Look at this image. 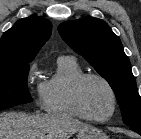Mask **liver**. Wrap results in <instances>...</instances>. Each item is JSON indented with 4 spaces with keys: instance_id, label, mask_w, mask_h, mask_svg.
Returning <instances> with one entry per match:
<instances>
[{
    "instance_id": "1",
    "label": "liver",
    "mask_w": 141,
    "mask_h": 139,
    "mask_svg": "<svg viewBox=\"0 0 141 139\" xmlns=\"http://www.w3.org/2000/svg\"><path fill=\"white\" fill-rule=\"evenodd\" d=\"M88 124L66 114H0V139H69Z\"/></svg>"
}]
</instances>
